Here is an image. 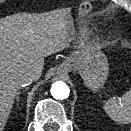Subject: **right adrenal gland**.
Wrapping results in <instances>:
<instances>
[{"mask_svg": "<svg viewBox=\"0 0 131 131\" xmlns=\"http://www.w3.org/2000/svg\"><path fill=\"white\" fill-rule=\"evenodd\" d=\"M20 91L19 92H17V94H16V102L18 103L19 102V95H20Z\"/></svg>", "mask_w": 131, "mask_h": 131, "instance_id": "obj_1", "label": "right adrenal gland"}]
</instances>
